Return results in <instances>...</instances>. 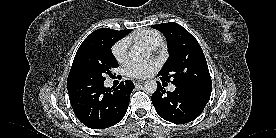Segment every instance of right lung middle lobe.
<instances>
[{
	"mask_svg": "<svg viewBox=\"0 0 276 138\" xmlns=\"http://www.w3.org/2000/svg\"><path fill=\"white\" fill-rule=\"evenodd\" d=\"M125 34L101 28L91 33L80 45L67 79L68 93L101 85L105 75L118 67L111 47Z\"/></svg>",
	"mask_w": 276,
	"mask_h": 138,
	"instance_id": "dd1d6c3e",
	"label": "right lung middle lobe"
}]
</instances>
